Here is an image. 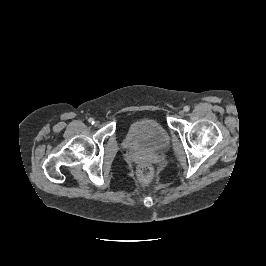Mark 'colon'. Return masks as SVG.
<instances>
[{"mask_svg":"<svg viewBox=\"0 0 266 266\" xmlns=\"http://www.w3.org/2000/svg\"><path fill=\"white\" fill-rule=\"evenodd\" d=\"M152 173L153 170L150 164L146 162H142L141 164H139L137 168V176L139 181L144 183L149 181L152 177Z\"/></svg>","mask_w":266,"mask_h":266,"instance_id":"obj_1","label":"colon"}]
</instances>
